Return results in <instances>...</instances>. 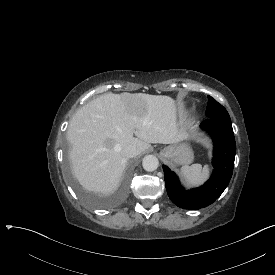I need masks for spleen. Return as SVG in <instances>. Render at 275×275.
Returning <instances> with one entry per match:
<instances>
[{
    "instance_id": "3e777b00",
    "label": "spleen",
    "mask_w": 275,
    "mask_h": 275,
    "mask_svg": "<svg viewBox=\"0 0 275 275\" xmlns=\"http://www.w3.org/2000/svg\"><path fill=\"white\" fill-rule=\"evenodd\" d=\"M181 173L186 181L191 185L203 183L209 176V167L205 165L202 168L201 164H192L191 166H183Z\"/></svg>"
}]
</instances>
